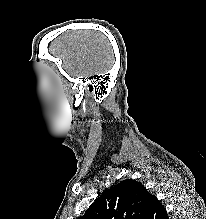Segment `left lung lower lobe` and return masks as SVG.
Here are the masks:
<instances>
[{
    "label": "left lung lower lobe",
    "instance_id": "left-lung-lower-lobe-1",
    "mask_svg": "<svg viewBox=\"0 0 206 219\" xmlns=\"http://www.w3.org/2000/svg\"><path fill=\"white\" fill-rule=\"evenodd\" d=\"M147 219H168L166 209L155 196L151 200V210Z\"/></svg>",
    "mask_w": 206,
    "mask_h": 219
}]
</instances>
